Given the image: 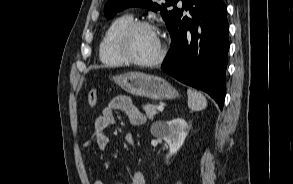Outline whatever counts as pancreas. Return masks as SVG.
I'll return each instance as SVG.
<instances>
[{
	"label": "pancreas",
	"mask_w": 293,
	"mask_h": 184,
	"mask_svg": "<svg viewBox=\"0 0 293 184\" xmlns=\"http://www.w3.org/2000/svg\"><path fill=\"white\" fill-rule=\"evenodd\" d=\"M143 109L146 113V116L149 118V119H153L154 116L158 113L157 112V105H153V104H146L143 106Z\"/></svg>",
	"instance_id": "obj_1"
}]
</instances>
